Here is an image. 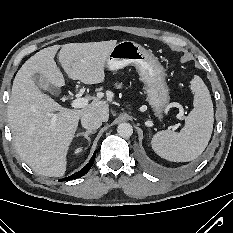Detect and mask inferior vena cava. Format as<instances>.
Listing matches in <instances>:
<instances>
[{
    "label": "inferior vena cava",
    "instance_id": "inferior-vena-cava-1",
    "mask_svg": "<svg viewBox=\"0 0 233 233\" xmlns=\"http://www.w3.org/2000/svg\"><path fill=\"white\" fill-rule=\"evenodd\" d=\"M81 124L84 128L92 131L100 128L102 119L94 113H87L81 117Z\"/></svg>",
    "mask_w": 233,
    "mask_h": 233
}]
</instances>
